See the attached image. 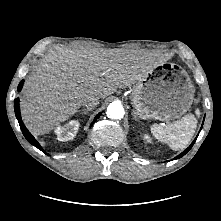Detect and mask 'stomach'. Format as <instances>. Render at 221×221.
<instances>
[{
  "instance_id": "obj_1",
  "label": "stomach",
  "mask_w": 221,
  "mask_h": 221,
  "mask_svg": "<svg viewBox=\"0 0 221 221\" xmlns=\"http://www.w3.org/2000/svg\"><path fill=\"white\" fill-rule=\"evenodd\" d=\"M156 66L135 85L131 102L135 114L144 120L170 121L181 117L191 107L193 85L184 70Z\"/></svg>"
}]
</instances>
